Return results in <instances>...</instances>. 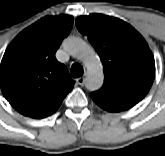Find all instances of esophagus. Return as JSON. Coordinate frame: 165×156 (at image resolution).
<instances>
[{
	"instance_id": "obj_1",
	"label": "esophagus",
	"mask_w": 165,
	"mask_h": 156,
	"mask_svg": "<svg viewBox=\"0 0 165 156\" xmlns=\"http://www.w3.org/2000/svg\"><path fill=\"white\" fill-rule=\"evenodd\" d=\"M76 82H77L78 85L83 86L84 83H85V78L84 77H79V78L76 79Z\"/></svg>"
}]
</instances>
